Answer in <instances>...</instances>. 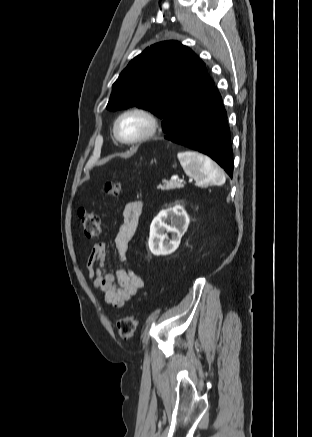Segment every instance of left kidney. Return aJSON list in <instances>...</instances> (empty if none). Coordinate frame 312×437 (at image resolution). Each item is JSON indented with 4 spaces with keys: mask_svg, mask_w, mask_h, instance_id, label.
Wrapping results in <instances>:
<instances>
[{
    "mask_svg": "<svg viewBox=\"0 0 312 437\" xmlns=\"http://www.w3.org/2000/svg\"><path fill=\"white\" fill-rule=\"evenodd\" d=\"M189 225V217L184 208L176 205L162 210L150 225L149 249L153 255H169L180 244L183 234ZM172 233L171 239L167 233Z\"/></svg>",
    "mask_w": 312,
    "mask_h": 437,
    "instance_id": "obj_1",
    "label": "left kidney"
}]
</instances>
